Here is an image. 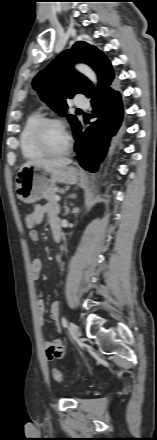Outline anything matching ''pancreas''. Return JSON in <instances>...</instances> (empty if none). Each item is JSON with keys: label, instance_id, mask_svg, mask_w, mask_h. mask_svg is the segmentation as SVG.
<instances>
[{"label": "pancreas", "instance_id": "1", "mask_svg": "<svg viewBox=\"0 0 157 440\" xmlns=\"http://www.w3.org/2000/svg\"><path fill=\"white\" fill-rule=\"evenodd\" d=\"M60 191L61 189L54 188L48 195L45 196V199L48 200L50 203L56 202L55 200L56 192H60Z\"/></svg>", "mask_w": 157, "mask_h": 440}]
</instances>
